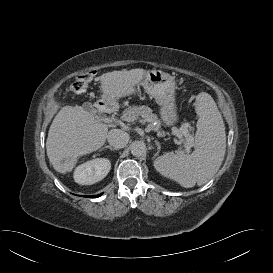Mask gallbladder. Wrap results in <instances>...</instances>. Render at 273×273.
Returning a JSON list of instances; mask_svg holds the SVG:
<instances>
[{"label":"gallbladder","instance_id":"obj_1","mask_svg":"<svg viewBox=\"0 0 273 273\" xmlns=\"http://www.w3.org/2000/svg\"><path fill=\"white\" fill-rule=\"evenodd\" d=\"M83 108L90 113H94V108L91 103H84Z\"/></svg>","mask_w":273,"mask_h":273}]
</instances>
